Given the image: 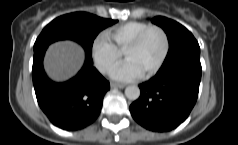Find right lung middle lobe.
Instances as JSON below:
<instances>
[{"instance_id": "right-lung-middle-lobe-1", "label": "right lung middle lobe", "mask_w": 238, "mask_h": 145, "mask_svg": "<svg viewBox=\"0 0 238 145\" xmlns=\"http://www.w3.org/2000/svg\"><path fill=\"white\" fill-rule=\"evenodd\" d=\"M117 20L104 19L86 12H75L60 16L51 21L40 33L34 50L58 40L78 42L87 55L92 54L94 39L106 27Z\"/></svg>"}]
</instances>
